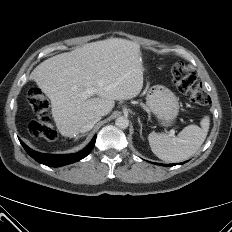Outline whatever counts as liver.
<instances>
[{"instance_id":"6515ba94","label":"liver","mask_w":232,"mask_h":232,"mask_svg":"<svg viewBox=\"0 0 232 232\" xmlns=\"http://www.w3.org/2000/svg\"><path fill=\"white\" fill-rule=\"evenodd\" d=\"M143 71L140 45L110 38L48 58L29 78L50 99L60 134L73 138L90 115L105 116L115 100L136 97L143 87ZM88 90L92 95L85 98Z\"/></svg>"}]
</instances>
